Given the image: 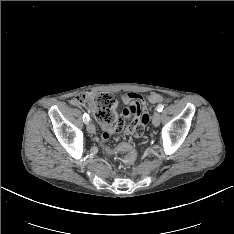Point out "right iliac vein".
Listing matches in <instances>:
<instances>
[{
	"instance_id": "63e3f726",
	"label": "right iliac vein",
	"mask_w": 234,
	"mask_h": 234,
	"mask_svg": "<svg viewBox=\"0 0 234 234\" xmlns=\"http://www.w3.org/2000/svg\"><path fill=\"white\" fill-rule=\"evenodd\" d=\"M87 131L90 134H94L96 131L95 126L91 122L87 123Z\"/></svg>"
}]
</instances>
